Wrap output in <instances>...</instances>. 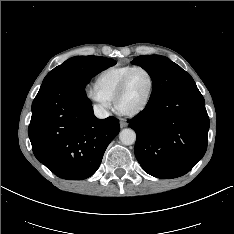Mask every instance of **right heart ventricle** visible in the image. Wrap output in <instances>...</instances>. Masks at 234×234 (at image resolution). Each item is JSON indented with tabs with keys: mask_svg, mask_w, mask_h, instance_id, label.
Wrapping results in <instances>:
<instances>
[{
	"mask_svg": "<svg viewBox=\"0 0 234 234\" xmlns=\"http://www.w3.org/2000/svg\"><path fill=\"white\" fill-rule=\"evenodd\" d=\"M135 66L133 65H114L102 70L96 77V86L110 100L119 87L124 76Z\"/></svg>",
	"mask_w": 234,
	"mask_h": 234,
	"instance_id": "right-heart-ventricle-1",
	"label": "right heart ventricle"
}]
</instances>
